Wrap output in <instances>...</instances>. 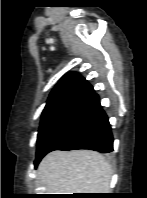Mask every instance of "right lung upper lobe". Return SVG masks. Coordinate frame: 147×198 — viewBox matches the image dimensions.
<instances>
[{
	"instance_id": "obj_1",
	"label": "right lung upper lobe",
	"mask_w": 147,
	"mask_h": 198,
	"mask_svg": "<svg viewBox=\"0 0 147 198\" xmlns=\"http://www.w3.org/2000/svg\"><path fill=\"white\" fill-rule=\"evenodd\" d=\"M94 92L93 87L74 72L64 76L50 93L47 107L53 106H76L87 96Z\"/></svg>"
}]
</instances>
